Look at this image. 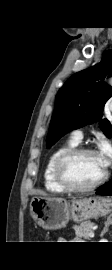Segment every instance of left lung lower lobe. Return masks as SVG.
I'll return each mask as SVG.
<instances>
[{
	"label": "left lung lower lobe",
	"instance_id": "0a47b994",
	"mask_svg": "<svg viewBox=\"0 0 112 270\" xmlns=\"http://www.w3.org/2000/svg\"><path fill=\"white\" fill-rule=\"evenodd\" d=\"M96 193L99 195H112V179L102 185Z\"/></svg>",
	"mask_w": 112,
	"mask_h": 270
}]
</instances>
